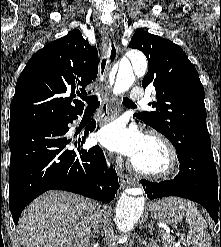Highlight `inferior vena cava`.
Wrapping results in <instances>:
<instances>
[{
	"instance_id": "inferior-vena-cava-1",
	"label": "inferior vena cava",
	"mask_w": 221,
	"mask_h": 247,
	"mask_svg": "<svg viewBox=\"0 0 221 247\" xmlns=\"http://www.w3.org/2000/svg\"><path fill=\"white\" fill-rule=\"evenodd\" d=\"M100 219H101V214L98 211H96L93 218L94 230H96V227L98 228V223L100 222Z\"/></svg>"
}]
</instances>
